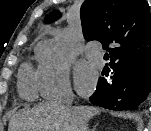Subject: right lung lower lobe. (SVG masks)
<instances>
[{
	"label": "right lung lower lobe",
	"instance_id": "1",
	"mask_svg": "<svg viewBox=\"0 0 151 131\" xmlns=\"http://www.w3.org/2000/svg\"><path fill=\"white\" fill-rule=\"evenodd\" d=\"M111 68L112 75L99 79L90 102L110 110H137L151 91V63L135 68L115 65Z\"/></svg>",
	"mask_w": 151,
	"mask_h": 131
}]
</instances>
